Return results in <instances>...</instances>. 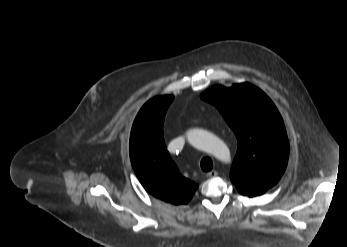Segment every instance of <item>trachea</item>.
Masks as SVG:
<instances>
[{"label":"trachea","instance_id":"1","mask_svg":"<svg viewBox=\"0 0 347 247\" xmlns=\"http://www.w3.org/2000/svg\"><path fill=\"white\" fill-rule=\"evenodd\" d=\"M200 166H201V169L205 172H208V171H211L212 168H213V162L211 160V158L209 157H204L202 158L201 160V163H200Z\"/></svg>","mask_w":347,"mask_h":247}]
</instances>
